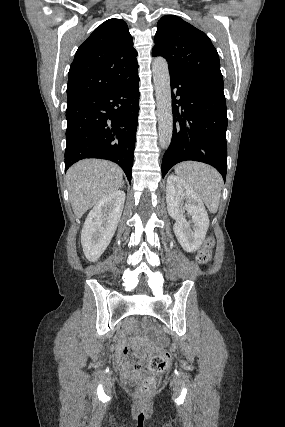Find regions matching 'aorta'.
I'll use <instances>...</instances> for the list:
<instances>
[{
	"mask_svg": "<svg viewBox=\"0 0 285 427\" xmlns=\"http://www.w3.org/2000/svg\"><path fill=\"white\" fill-rule=\"evenodd\" d=\"M152 72L157 101L159 144L161 148L167 149L173 132L170 74L167 61L162 57H156L152 63Z\"/></svg>",
	"mask_w": 285,
	"mask_h": 427,
	"instance_id": "obj_1",
	"label": "aorta"
}]
</instances>
